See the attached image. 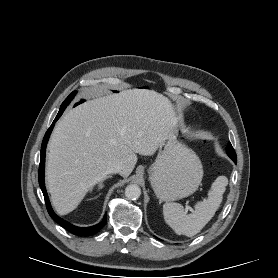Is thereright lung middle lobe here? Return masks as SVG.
<instances>
[{"label":"right lung middle lobe","instance_id":"right-lung-middle-lobe-1","mask_svg":"<svg viewBox=\"0 0 278 278\" xmlns=\"http://www.w3.org/2000/svg\"><path fill=\"white\" fill-rule=\"evenodd\" d=\"M76 93H77L76 91L72 92V93L65 99V101L62 103L61 107H66V106L71 102V100L74 98V96H75Z\"/></svg>","mask_w":278,"mask_h":278}]
</instances>
